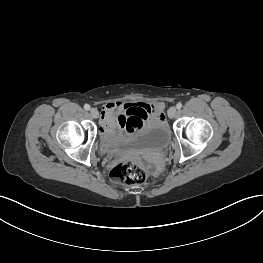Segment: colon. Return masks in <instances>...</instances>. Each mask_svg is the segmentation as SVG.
Wrapping results in <instances>:
<instances>
[{"instance_id": "1", "label": "colon", "mask_w": 263, "mask_h": 263, "mask_svg": "<svg viewBox=\"0 0 263 263\" xmlns=\"http://www.w3.org/2000/svg\"><path fill=\"white\" fill-rule=\"evenodd\" d=\"M115 182L126 186L141 184L145 180V172L139 159H131L116 165L111 171Z\"/></svg>"}]
</instances>
